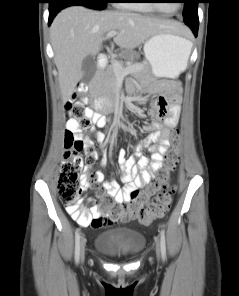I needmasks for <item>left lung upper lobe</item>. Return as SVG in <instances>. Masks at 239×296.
<instances>
[{
    "label": "left lung upper lobe",
    "mask_w": 239,
    "mask_h": 296,
    "mask_svg": "<svg viewBox=\"0 0 239 296\" xmlns=\"http://www.w3.org/2000/svg\"><path fill=\"white\" fill-rule=\"evenodd\" d=\"M198 3L199 0H184L183 18L186 24L199 22L198 20Z\"/></svg>",
    "instance_id": "left-lung-upper-lobe-1"
}]
</instances>
